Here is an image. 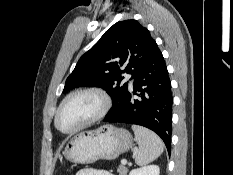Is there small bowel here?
<instances>
[{
    "label": "small bowel",
    "instance_id": "small-bowel-1",
    "mask_svg": "<svg viewBox=\"0 0 233 175\" xmlns=\"http://www.w3.org/2000/svg\"><path fill=\"white\" fill-rule=\"evenodd\" d=\"M75 175H114L107 171L96 170L93 168H83L77 171Z\"/></svg>",
    "mask_w": 233,
    "mask_h": 175
}]
</instances>
